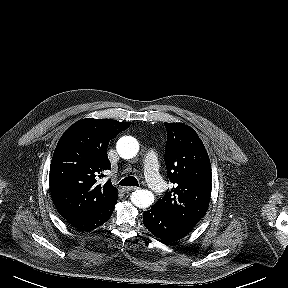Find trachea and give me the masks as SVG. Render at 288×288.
Returning a JSON list of instances; mask_svg holds the SVG:
<instances>
[{
  "label": "trachea",
  "instance_id": "trachea-1",
  "mask_svg": "<svg viewBox=\"0 0 288 288\" xmlns=\"http://www.w3.org/2000/svg\"><path fill=\"white\" fill-rule=\"evenodd\" d=\"M121 186H139L138 181L135 177L133 176H128L122 179L119 183Z\"/></svg>",
  "mask_w": 288,
  "mask_h": 288
}]
</instances>
